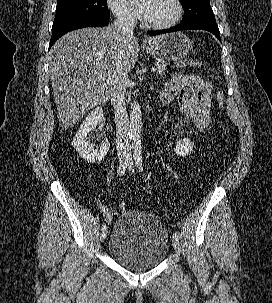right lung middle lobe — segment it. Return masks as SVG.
<instances>
[{
    "mask_svg": "<svg viewBox=\"0 0 272 303\" xmlns=\"http://www.w3.org/2000/svg\"><path fill=\"white\" fill-rule=\"evenodd\" d=\"M110 12L107 0H57L53 26L78 19L108 20Z\"/></svg>",
    "mask_w": 272,
    "mask_h": 303,
    "instance_id": "1",
    "label": "right lung middle lobe"
}]
</instances>
